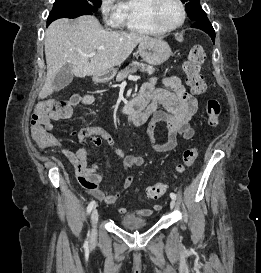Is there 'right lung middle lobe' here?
<instances>
[{"instance_id": "right-lung-middle-lobe-1", "label": "right lung middle lobe", "mask_w": 261, "mask_h": 273, "mask_svg": "<svg viewBox=\"0 0 261 273\" xmlns=\"http://www.w3.org/2000/svg\"><path fill=\"white\" fill-rule=\"evenodd\" d=\"M101 5V0H56L48 17V22L58 18H76L80 15H92ZM76 7L81 8L79 12Z\"/></svg>"}]
</instances>
